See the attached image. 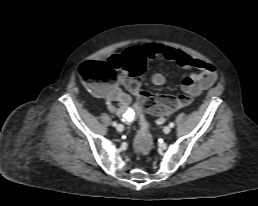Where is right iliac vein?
<instances>
[{"instance_id": "obj_1", "label": "right iliac vein", "mask_w": 258, "mask_h": 206, "mask_svg": "<svg viewBox=\"0 0 258 206\" xmlns=\"http://www.w3.org/2000/svg\"><path fill=\"white\" fill-rule=\"evenodd\" d=\"M116 129L117 131L122 132L124 130V126L122 124H118Z\"/></svg>"}]
</instances>
